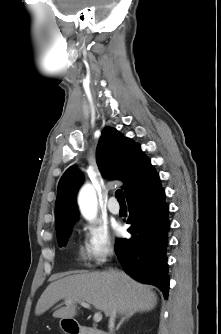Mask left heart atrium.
Instances as JSON below:
<instances>
[{
    "label": "left heart atrium",
    "instance_id": "left-heart-atrium-1",
    "mask_svg": "<svg viewBox=\"0 0 221 334\" xmlns=\"http://www.w3.org/2000/svg\"><path fill=\"white\" fill-rule=\"evenodd\" d=\"M116 232L119 234L121 232V228L120 227H117L116 228Z\"/></svg>",
    "mask_w": 221,
    "mask_h": 334
}]
</instances>
